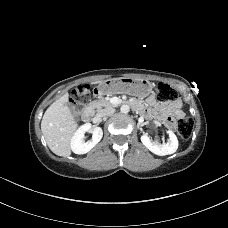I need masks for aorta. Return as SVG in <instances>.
<instances>
[{"label": "aorta", "mask_w": 228, "mask_h": 228, "mask_svg": "<svg viewBox=\"0 0 228 228\" xmlns=\"http://www.w3.org/2000/svg\"><path fill=\"white\" fill-rule=\"evenodd\" d=\"M122 113H128L130 111V107L128 105H122L120 108Z\"/></svg>", "instance_id": "762f6f07"}]
</instances>
